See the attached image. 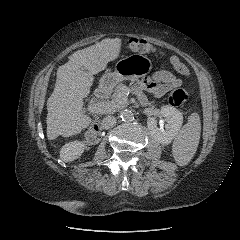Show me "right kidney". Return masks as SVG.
Listing matches in <instances>:
<instances>
[{
  "instance_id": "obj_1",
  "label": "right kidney",
  "mask_w": 240,
  "mask_h": 240,
  "mask_svg": "<svg viewBox=\"0 0 240 240\" xmlns=\"http://www.w3.org/2000/svg\"><path fill=\"white\" fill-rule=\"evenodd\" d=\"M85 145L81 141H72L62 146L60 158L65 162H71L79 158L84 152Z\"/></svg>"
}]
</instances>
